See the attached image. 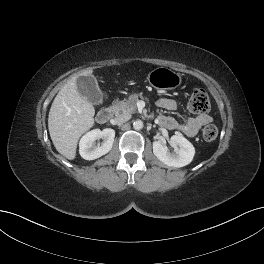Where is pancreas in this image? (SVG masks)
<instances>
[{"mask_svg": "<svg viewBox=\"0 0 264 264\" xmlns=\"http://www.w3.org/2000/svg\"><path fill=\"white\" fill-rule=\"evenodd\" d=\"M138 101V96H129L128 99L113 102V109L116 116L120 114L130 115L137 111L136 102Z\"/></svg>", "mask_w": 264, "mask_h": 264, "instance_id": "pancreas-1", "label": "pancreas"}]
</instances>
